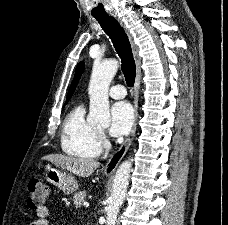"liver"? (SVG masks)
<instances>
[{
    "label": "liver",
    "mask_w": 228,
    "mask_h": 225,
    "mask_svg": "<svg viewBox=\"0 0 228 225\" xmlns=\"http://www.w3.org/2000/svg\"><path fill=\"white\" fill-rule=\"evenodd\" d=\"M43 161H50L58 169H65L74 173L77 177H90L95 169L100 167L101 163L97 161H88V159H74V157H65V155H46L42 157Z\"/></svg>",
    "instance_id": "liver-1"
}]
</instances>
